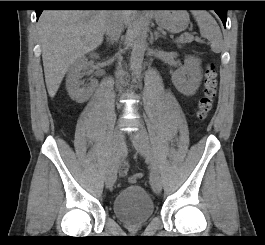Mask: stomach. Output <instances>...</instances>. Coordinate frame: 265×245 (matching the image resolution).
<instances>
[{"label":"stomach","mask_w":265,"mask_h":245,"mask_svg":"<svg viewBox=\"0 0 265 245\" xmlns=\"http://www.w3.org/2000/svg\"><path fill=\"white\" fill-rule=\"evenodd\" d=\"M154 18L159 27L172 33L184 31L189 24V14L185 10H159Z\"/></svg>","instance_id":"stomach-1"}]
</instances>
